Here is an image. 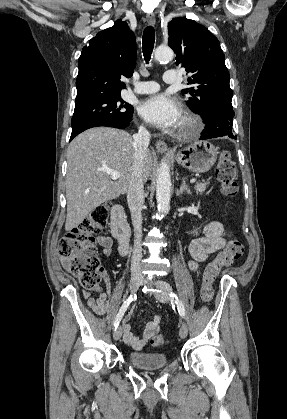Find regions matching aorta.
<instances>
[{"label":"aorta","instance_id":"obj_1","mask_svg":"<svg viewBox=\"0 0 287 419\" xmlns=\"http://www.w3.org/2000/svg\"><path fill=\"white\" fill-rule=\"evenodd\" d=\"M174 53L170 47H157L154 52V58L157 61H170ZM156 200L157 208L160 213L166 214L170 210L171 200V175L170 169L165 160L160 163V168L156 181Z\"/></svg>","mask_w":287,"mask_h":419}]
</instances>
